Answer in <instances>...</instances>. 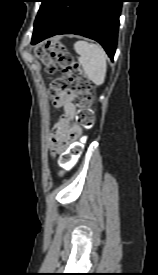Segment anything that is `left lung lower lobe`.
<instances>
[{
  "label": "left lung lower lobe",
  "instance_id": "0a47b994",
  "mask_svg": "<svg viewBox=\"0 0 158 275\" xmlns=\"http://www.w3.org/2000/svg\"><path fill=\"white\" fill-rule=\"evenodd\" d=\"M123 0H52L32 44L57 34H77L99 42L113 59Z\"/></svg>",
  "mask_w": 158,
  "mask_h": 275
}]
</instances>
